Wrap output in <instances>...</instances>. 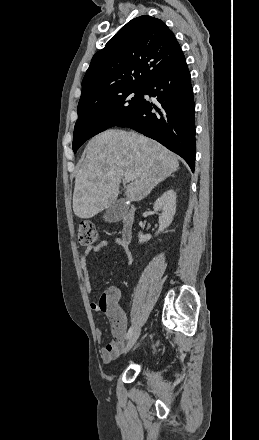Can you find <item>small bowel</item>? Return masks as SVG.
Returning a JSON list of instances; mask_svg holds the SVG:
<instances>
[{"label":"small bowel","instance_id":"c3829d8e","mask_svg":"<svg viewBox=\"0 0 259 440\" xmlns=\"http://www.w3.org/2000/svg\"><path fill=\"white\" fill-rule=\"evenodd\" d=\"M109 246L122 247L125 250L128 263L132 262V254L128 248V243H125L120 237L104 239L97 245L88 247L80 259L84 277V286L88 294H90L92 290L89 280L88 259L93 253ZM119 297L120 293L118 289L110 288L100 297L99 300L92 302L90 305L93 311L103 312L110 321L113 341L103 345L100 349L101 357L105 362H111L120 355L124 348L125 338L127 337V319L123 310L118 305ZM96 336L98 340L102 339L101 330L98 329L96 331Z\"/></svg>","mask_w":259,"mask_h":440}]
</instances>
